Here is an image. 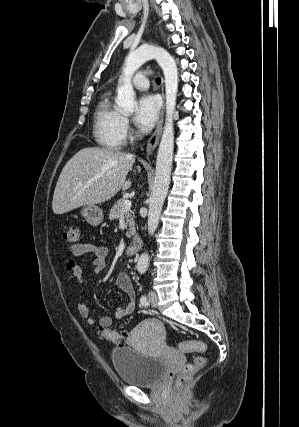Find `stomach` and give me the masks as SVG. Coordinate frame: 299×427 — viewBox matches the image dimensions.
<instances>
[{"mask_svg":"<svg viewBox=\"0 0 299 427\" xmlns=\"http://www.w3.org/2000/svg\"><path fill=\"white\" fill-rule=\"evenodd\" d=\"M80 214L92 226H98L104 219L102 209L94 204L85 205Z\"/></svg>","mask_w":299,"mask_h":427,"instance_id":"obj_1","label":"stomach"}]
</instances>
